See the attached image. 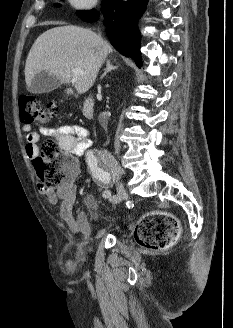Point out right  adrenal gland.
<instances>
[{"mask_svg":"<svg viewBox=\"0 0 233 328\" xmlns=\"http://www.w3.org/2000/svg\"><path fill=\"white\" fill-rule=\"evenodd\" d=\"M117 68H118V66H113V65L111 64V60L108 59V60H107V63H106V69H105L104 73L100 76V79H103V78L106 76V74H107L108 72H110V71H112V70H115V69H117Z\"/></svg>","mask_w":233,"mask_h":328,"instance_id":"obj_1","label":"right adrenal gland"}]
</instances>
